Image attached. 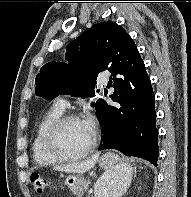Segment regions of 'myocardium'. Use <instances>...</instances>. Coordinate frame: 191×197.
Listing matches in <instances>:
<instances>
[{"instance_id": "myocardium-1", "label": "myocardium", "mask_w": 191, "mask_h": 197, "mask_svg": "<svg viewBox=\"0 0 191 197\" xmlns=\"http://www.w3.org/2000/svg\"><path fill=\"white\" fill-rule=\"evenodd\" d=\"M71 121H82L77 114H64L57 118L46 130L44 135V147L46 152L58 161H76L87 156L97 145V139L93 135L91 143L79 154L70 155L62 151L58 144V134L61 128Z\"/></svg>"}]
</instances>
